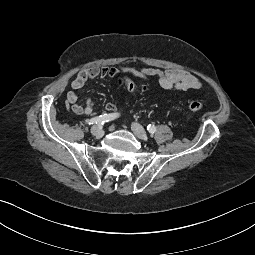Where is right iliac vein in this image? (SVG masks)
Returning <instances> with one entry per match:
<instances>
[{
  "instance_id": "1",
  "label": "right iliac vein",
  "mask_w": 255,
  "mask_h": 255,
  "mask_svg": "<svg viewBox=\"0 0 255 255\" xmlns=\"http://www.w3.org/2000/svg\"><path fill=\"white\" fill-rule=\"evenodd\" d=\"M91 133H92V135H94L97 138H101L104 134L102 128L99 126H93L91 128Z\"/></svg>"
}]
</instances>
